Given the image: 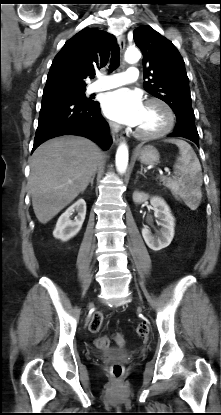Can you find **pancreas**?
Returning <instances> with one entry per match:
<instances>
[{"label":"pancreas","mask_w":221,"mask_h":415,"mask_svg":"<svg viewBox=\"0 0 221 415\" xmlns=\"http://www.w3.org/2000/svg\"><path fill=\"white\" fill-rule=\"evenodd\" d=\"M162 182H163V185H166V181H165V179H162L161 180ZM176 196V195H175ZM177 197V196H176Z\"/></svg>","instance_id":"cf45deb5"}]
</instances>
